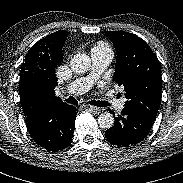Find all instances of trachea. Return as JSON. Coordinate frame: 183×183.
Returning <instances> with one entry per match:
<instances>
[{
    "mask_svg": "<svg viewBox=\"0 0 183 183\" xmlns=\"http://www.w3.org/2000/svg\"><path fill=\"white\" fill-rule=\"evenodd\" d=\"M66 102L69 103V104H74V105L78 104V101L72 96H70L68 99H66ZM89 103H90V105H94V106H97V107H107V106H109V103L106 102V101H90Z\"/></svg>",
    "mask_w": 183,
    "mask_h": 183,
    "instance_id": "1",
    "label": "trachea"
}]
</instances>
